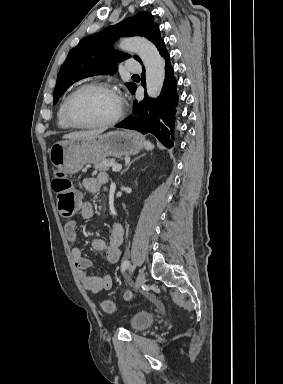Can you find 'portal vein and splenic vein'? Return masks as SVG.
Masks as SVG:
<instances>
[{"mask_svg":"<svg viewBox=\"0 0 283 384\" xmlns=\"http://www.w3.org/2000/svg\"><path fill=\"white\" fill-rule=\"evenodd\" d=\"M112 170L113 172H120V170H122L121 164H117V166H113Z\"/></svg>","mask_w":283,"mask_h":384,"instance_id":"18ae733b","label":"portal vein and splenic vein"}]
</instances>
